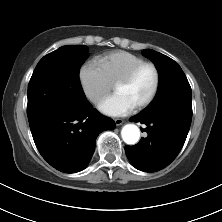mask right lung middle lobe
Returning <instances> with one entry per match:
<instances>
[{
  "label": "right lung middle lobe",
  "mask_w": 222,
  "mask_h": 222,
  "mask_svg": "<svg viewBox=\"0 0 222 222\" xmlns=\"http://www.w3.org/2000/svg\"><path fill=\"white\" fill-rule=\"evenodd\" d=\"M85 45H68L44 56L28 86V111L42 107L66 109L87 102L79 81V70L88 58Z\"/></svg>",
  "instance_id": "1"
}]
</instances>
